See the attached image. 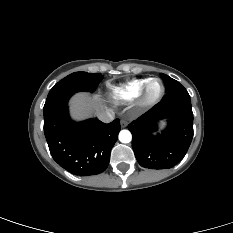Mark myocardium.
<instances>
[{"instance_id": "myocardium-1", "label": "myocardium", "mask_w": 233, "mask_h": 233, "mask_svg": "<svg viewBox=\"0 0 233 233\" xmlns=\"http://www.w3.org/2000/svg\"><path fill=\"white\" fill-rule=\"evenodd\" d=\"M155 82L159 83L160 91L156 95L151 96L149 94V89H150L151 85ZM164 92H165V87H164L163 82L160 79H158V78L149 79L148 82L144 85V87L142 88V90L140 92V95H139L140 106L151 107V106L155 105L156 103H158L161 100V98L164 95Z\"/></svg>"}]
</instances>
